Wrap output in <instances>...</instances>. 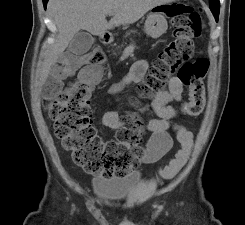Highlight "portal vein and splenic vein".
Masks as SVG:
<instances>
[{
	"label": "portal vein and splenic vein",
	"mask_w": 245,
	"mask_h": 225,
	"mask_svg": "<svg viewBox=\"0 0 245 225\" xmlns=\"http://www.w3.org/2000/svg\"><path fill=\"white\" fill-rule=\"evenodd\" d=\"M114 14L113 13H109V16H113Z\"/></svg>",
	"instance_id": "1"
}]
</instances>
